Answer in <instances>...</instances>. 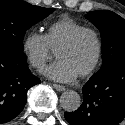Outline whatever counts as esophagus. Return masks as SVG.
<instances>
[{"label":"esophagus","mask_w":125,"mask_h":125,"mask_svg":"<svg viewBox=\"0 0 125 125\" xmlns=\"http://www.w3.org/2000/svg\"><path fill=\"white\" fill-rule=\"evenodd\" d=\"M53 87H54L57 91H59V92L65 91V87L62 86V85L53 84Z\"/></svg>","instance_id":"34e87169"}]
</instances>
